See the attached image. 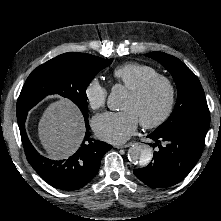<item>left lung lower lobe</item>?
Segmentation results:
<instances>
[{"instance_id":"left-lung-lower-lobe-1","label":"left lung lower lobe","mask_w":221,"mask_h":221,"mask_svg":"<svg viewBox=\"0 0 221 221\" xmlns=\"http://www.w3.org/2000/svg\"><path fill=\"white\" fill-rule=\"evenodd\" d=\"M147 137L155 141L154 146L158 145L159 151L154 152L149 165L134 170V174L153 188L169 187L183 180L198 162L205 139L187 130L174 134L153 132ZM161 142H165L164 146L159 144Z\"/></svg>"}]
</instances>
